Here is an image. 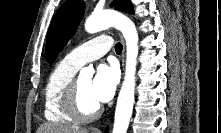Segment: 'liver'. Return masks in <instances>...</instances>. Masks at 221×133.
Wrapping results in <instances>:
<instances>
[{"instance_id":"liver-1","label":"liver","mask_w":221,"mask_h":133,"mask_svg":"<svg viewBox=\"0 0 221 133\" xmlns=\"http://www.w3.org/2000/svg\"><path fill=\"white\" fill-rule=\"evenodd\" d=\"M37 133H88V130L79 127L45 123L38 128Z\"/></svg>"}]
</instances>
